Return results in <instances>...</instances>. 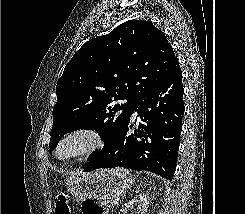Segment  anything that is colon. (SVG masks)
<instances>
[{
    "mask_svg": "<svg viewBox=\"0 0 245 214\" xmlns=\"http://www.w3.org/2000/svg\"><path fill=\"white\" fill-rule=\"evenodd\" d=\"M83 214H104V208L96 201L87 199L81 205ZM55 214H71L69 205V196L67 193H61L56 200Z\"/></svg>",
    "mask_w": 245,
    "mask_h": 214,
    "instance_id": "5ec220e1",
    "label": "colon"
}]
</instances>
